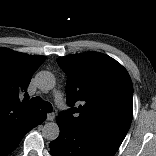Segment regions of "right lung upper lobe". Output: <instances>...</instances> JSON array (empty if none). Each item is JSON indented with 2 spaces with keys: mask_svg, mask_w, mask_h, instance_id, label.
I'll return each mask as SVG.
<instances>
[{
  "mask_svg": "<svg viewBox=\"0 0 156 156\" xmlns=\"http://www.w3.org/2000/svg\"><path fill=\"white\" fill-rule=\"evenodd\" d=\"M45 59L0 48V128L11 122L29 121L39 111L25 103L32 75ZM21 93L25 96L23 102L19 101Z\"/></svg>",
  "mask_w": 156,
  "mask_h": 156,
  "instance_id": "right-lung-upper-lobe-1",
  "label": "right lung upper lobe"
}]
</instances>
